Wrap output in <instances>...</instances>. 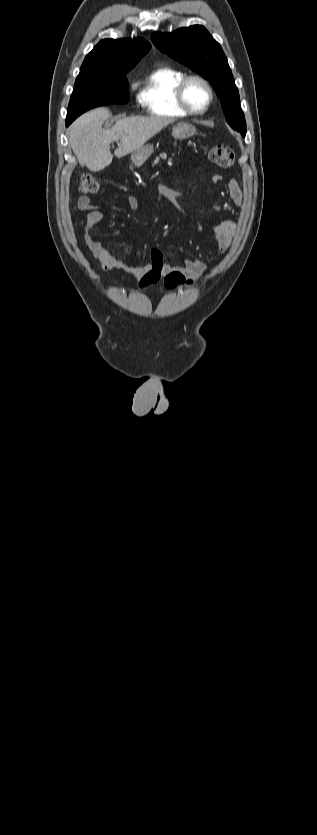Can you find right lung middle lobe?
Masks as SVG:
<instances>
[{"instance_id": "1", "label": "right lung middle lobe", "mask_w": 317, "mask_h": 835, "mask_svg": "<svg viewBox=\"0 0 317 835\" xmlns=\"http://www.w3.org/2000/svg\"><path fill=\"white\" fill-rule=\"evenodd\" d=\"M131 69L79 73L69 102L66 126L85 111L102 105L126 103L129 84L126 73Z\"/></svg>"}]
</instances>
